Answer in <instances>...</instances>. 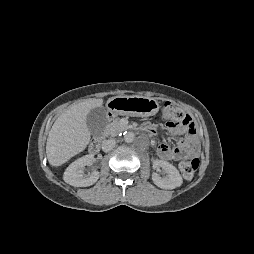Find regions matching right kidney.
I'll list each match as a JSON object with an SVG mask.
<instances>
[{"mask_svg":"<svg viewBox=\"0 0 254 254\" xmlns=\"http://www.w3.org/2000/svg\"><path fill=\"white\" fill-rule=\"evenodd\" d=\"M94 161V156L89 154L85 155L66 169L63 175V180L75 187H86L93 185L99 179V172L93 171L90 175L83 172L85 166L91 165Z\"/></svg>","mask_w":254,"mask_h":254,"instance_id":"ca27d5eb","label":"right kidney"}]
</instances>
